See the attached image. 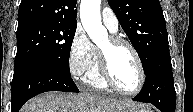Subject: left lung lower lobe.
<instances>
[{
    "mask_svg": "<svg viewBox=\"0 0 193 112\" xmlns=\"http://www.w3.org/2000/svg\"><path fill=\"white\" fill-rule=\"evenodd\" d=\"M145 75L144 85L133 100L151 103L162 112H175L176 92L169 48L154 58Z\"/></svg>",
    "mask_w": 193,
    "mask_h": 112,
    "instance_id": "0a47b994",
    "label": "left lung lower lobe"
}]
</instances>
